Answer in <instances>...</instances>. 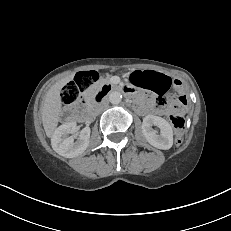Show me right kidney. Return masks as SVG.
Listing matches in <instances>:
<instances>
[{
    "mask_svg": "<svg viewBox=\"0 0 231 231\" xmlns=\"http://www.w3.org/2000/svg\"><path fill=\"white\" fill-rule=\"evenodd\" d=\"M75 131V122H69L59 126L51 138L53 150L65 158H74L82 154L89 145L90 129H82L78 140L74 142V137L68 135L75 133Z\"/></svg>",
    "mask_w": 231,
    "mask_h": 231,
    "instance_id": "right-kidney-1",
    "label": "right kidney"
}]
</instances>
